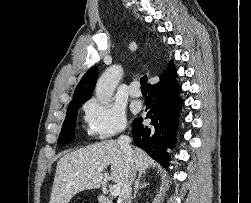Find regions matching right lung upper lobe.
<instances>
[{"mask_svg":"<svg viewBox=\"0 0 251 203\" xmlns=\"http://www.w3.org/2000/svg\"><path fill=\"white\" fill-rule=\"evenodd\" d=\"M172 64L173 63L170 62L169 65L167 66L166 70ZM97 77H98L97 67L93 66L92 68H90L86 72V74L81 79L80 83L77 85L76 90L74 92L73 101L70 104L77 103V102H83V101L85 102L87 99H89L92 95L93 90H94Z\"/></svg>","mask_w":251,"mask_h":203,"instance_id":"1","label":"right lung upper lobe"}]
</instances>
